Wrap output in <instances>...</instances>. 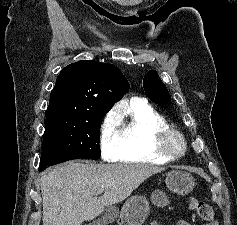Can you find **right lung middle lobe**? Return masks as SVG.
<instances>
[{"instance_id":"1","label":"right lung middle lobe","mask_w":237,"mask_h":225,"mask_svg":"<svg viewBox=\"0 0 237 225\" xmlns=\"http://www.w3.org/2000/svg\"><path fill=\"white\" fill-rule=\"evenodd\" d=\"M106 113L82 119L54 117L46 119L42 154H71L99 159L101 120Z\"/></svg>"}]
</instances>
